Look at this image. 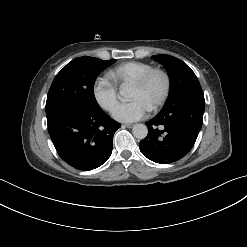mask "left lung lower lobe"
Segmentation results:
<instances>
[{"mask_svg":"<svg viewBox=\"0 0 247 247\" xmlns=\"http://www.w3.org/2000/svg\"><path fill=\"white\" fill-rule=\"evenodd\" d=\"M205 103L190 101L161 111L146 122L148 135L139 148L153 162L169 164L193 147L203 122Z\"/></svg>","mask_w":247,"mask_h":247,"instance_id":"1","label":"left lung lower lobe"}]
</instances>
